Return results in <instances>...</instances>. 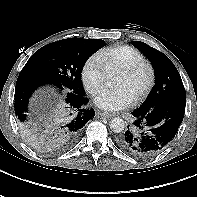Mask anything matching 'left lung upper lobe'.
<instances>
[{"instance_id":"left-lung-upper-lobe-1","label":"left lung upper lobe","mask_w":197,"mask_h":197,"mask_svg":"<svg viewBox=\"0 0 197 197\" xmlns=\"http://www.w3.org/2000/svg\"><path fill=\"white\" fill-rule=\"evenodd\" d=\"M131 43L152 62L155 72V85L140 109H150L167 98L186 96L180 74L165 54L141 41Z\"/></svg>"}]
</instances>
